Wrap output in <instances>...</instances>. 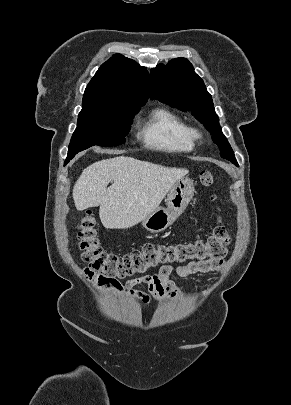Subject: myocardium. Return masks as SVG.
<instances>
[{"label":"myocardium","instance_id":"myocardium-1","mask_svg":"<svg viewBox=\"0 0 291 405\" xmlns=\"http://www.w3.org/2000/svg\"><path fill=\"white\" fill-rule=\"evenodd\" d=\"M190 136L193 142H201L204 135L198 128L190 127Z\"/></svg>","mask_w":291,"mask_h":405}]
</instances>
